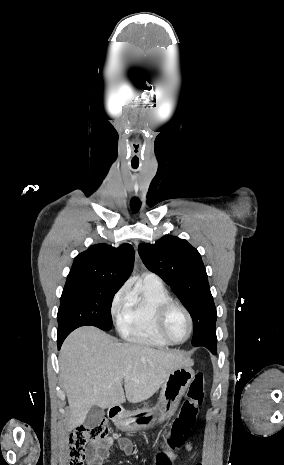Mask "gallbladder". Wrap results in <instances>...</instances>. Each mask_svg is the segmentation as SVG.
Listing matches in <instances>:
<instances>
[{"label":"gallbladder","mask_w":284,"mask_h":465,"mask_svg":"<svg viewBox=\"0 0 284 465\" xmlns=\"http://www.w3.org/2000/svg\"><path fill=\"white\" fill-rule=\"evenodd\" d=\"M104 415L105 413L103 409H100V407H97V405H93L84 421L85 427H89V429H94V427H98V425L102 423Z\"/></svg>","instance_id":"bac80fb5"}]
</instances>
